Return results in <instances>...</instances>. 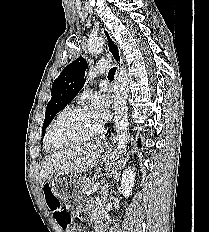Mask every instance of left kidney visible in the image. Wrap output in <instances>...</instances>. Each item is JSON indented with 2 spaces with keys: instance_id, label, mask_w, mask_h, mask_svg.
Segmentation results:
<instances>
[{
  "instance_id": "5707ae66",
  "label": "left kidney",
  "mask_w": 209,
  "mask_h": 232,
  "mask_svg": "<svg viewBox=\"0 0 209 232\" xmlns=\"http://www.w3.org/2000/svg\"><path fill=\"white\" fill-rule=\"evenodd\" d=\"M134 168L129 167L126 169L122 175L121 180V188H122V194L128 198L132 193V189L134 187Z\"/></svg>"
}]
</instances>
